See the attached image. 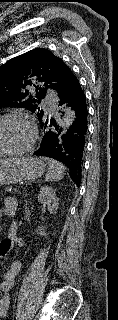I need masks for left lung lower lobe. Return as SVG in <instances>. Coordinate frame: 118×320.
Instances as JSON below:
<instances>
[{"label":"left lung lower lobe","instance_id":"left-lung-lower-lobe-1","mask_svg":"<svg viewBox=\"0 0 118 320\" xmlns=\"http://www.w3.org/2000/svg\"><path fill=\"white\" fill-rule=\"evenodd\" d=\"M58 103L59 106L71 107L75 119L67 131L66 128L60 127L58 120L51 118L49 121L47 115L41 119L40 127L44 130V136L40 148L34 154L50 157L65 164L71 179L80 185L88 113L85 94L75 75L69 78L58 94Z\"/></svg>","mask_w":118,"mask_h":320}]
</instances>
